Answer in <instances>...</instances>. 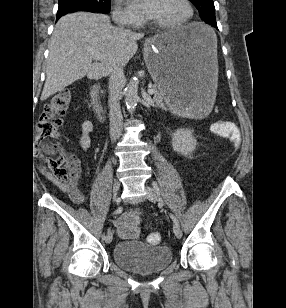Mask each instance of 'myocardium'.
<instances>
[{
    "instance_id": "myocardium-1",
    "label": "myocardium",
    "mask_w": 286,
    "mask_h": 308,
    "mask_svg": "<svg viewBox=\"0 0 286 308\" xmlns=\"http://www.w3.org/2000/svg\"><path fill=\"white\" fill-rule=\"evenodd\" d=\"M182 2L185 4L188 11L187 16L183 20L175 23H163L151 20V24L159 29H177L190 23L194 17L193 5L190 0H182Z\"/></svg>"
}]
</instances>
